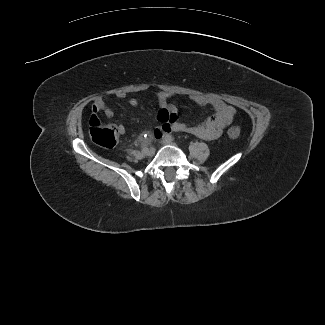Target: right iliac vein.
Wrapping results in <instances>:
<instances>
[{
	"label": "right iliac vein",
	"mask_w": 325,
	"mask_h": 325,
	"mask_svg": "<svg viewBox=\"0 0 325 325\" xmlns=\"http://www.w3.org/2000/svg\"><path fill=\"white\" fill-rule=\"evenodd\" d=\"M154 153H155V149H154V148H149V149L145 152V154H146L147 156H149V157L153 156Z\"/></svg>",
	"instance_id": "obj_1"
}]
</instances>
